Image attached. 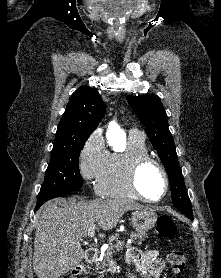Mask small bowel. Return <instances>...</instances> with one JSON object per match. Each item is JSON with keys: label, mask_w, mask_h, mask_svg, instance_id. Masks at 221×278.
Listing matches in <instances>:
<instances>
[{"label": "small bowel", "mask_w": 221, "mask_h": 278, "mask_svg": "<svg viewBox=\"0 0 221 278\" xmlns=\"http://www.w3.org/2000/svg\"><path fill=\"white\" fill-rule=\"evenodd\" d=\"M127 259L129 262L135 263L137 270L145 278H163L162 271L164 264L159 258L157 251L149 250L141 252L133 249L128 252Z\"/></svg>", "instance_id": "c3829d8e"}]
</instances>
